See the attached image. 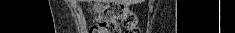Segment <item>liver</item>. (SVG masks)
Listing matches in <instances>:
<instances>
[{"label":"liver","instance_id":"liver-1","mask_svg":"<svg viewBox=\"0 0 235 33\" xmlns=\"http://www.w3.org/2000/svg\"><path fill=\"white\" fill-rule=\"evenodd\" d=\"M138 2H140L139 0H137V1H129V3H138Z\"/></svg>","mask_w":235,"mask_h":33}]
</instances>
